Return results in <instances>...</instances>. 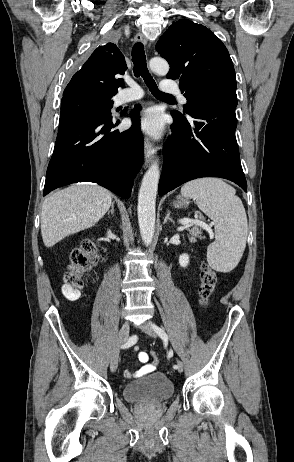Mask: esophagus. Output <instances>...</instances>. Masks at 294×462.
<instances>
[{
	"instance_id": "1",
	"label": "esophagus",
	"mask_w": 294,
	"mask_h": 462,
	"mask_svg": "<svg viewBox=\"0 0 294 462\" xmlns=\"http://www.w3.org/2000/svg\"><path fill=\"white\" fill-rule=\"evenodd\" d=\"M147 38L142 34L138 33L134 37V43H142V44H147ZM156 153V148L154 147L153 143L145 137L144 139V154H145V163L148 165L152 158L154 157V154Z\"/></svg>"
}]
</instances>
